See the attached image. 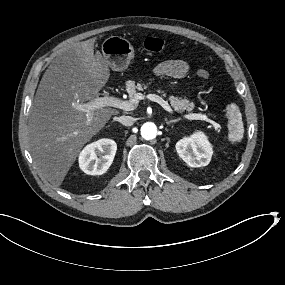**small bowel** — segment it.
Wrapping results in <instances>:
<instances>
[{
  "label": "small bowel",
  "mask_w": 285,
  "mask_h": 285,
  "mask_svg": "<svg viewBox=\"0 0 285 285\" xmlns=\"http://www.w3.org/2000/svg\"><path fill=\"white\" fill-rule=\"evenodd\" d=\"M188 72V65L181 60H168L159 64L155 68L156 75L174 78H183L188 74Z\"/></svg>",
  "instance_id": "c3829d8e"
}]
</instances>
